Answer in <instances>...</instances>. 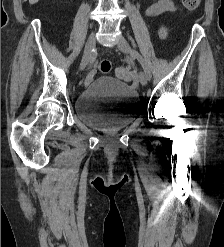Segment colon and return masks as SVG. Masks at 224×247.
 I'll list each match as a JSON object with an SVG mask.
<instances>
[{
    "instance_id": "colon-1",
    "label": "colon",
    "mask_w": 224,
    "mask_h": 247,
    "mask_svg": "<svg viewBox=\"0 0 224 247\" xmlns=\"http://www.w3.org/2000/svg\"><path fill=\"white\" fill-rule=\"evenodd\" d=\"M182 2L187 10L195 11L198 9L201 0H182ZM98 68L102 74H109L112 71V64L108 59H102L98 64ZM116 75L119 79L127 82H133L135 79L134 73L124 67H119L116 70Z\"/></svg>"
}]
</instances>
